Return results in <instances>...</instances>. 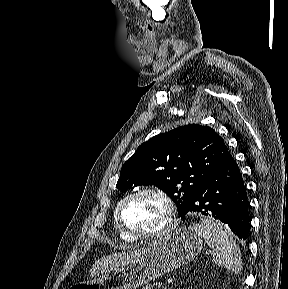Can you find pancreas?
Listing matches in <instances>:
<instances>
[{
    "instance_id": "cf45deb5",
    "label": "pancreas",
    "mask_w": 288,
    "mask_h": 289,
    "mask_svg": "<svg viewBox=\"0 0 288 289\" xmlns=\"http://www.w3.org/2000/svg\"><path fill=\"white\" fill-rule=\"evenodd\" d=\"M143 289H154V285H147Z\"/></svg>"
}]
</instances>
